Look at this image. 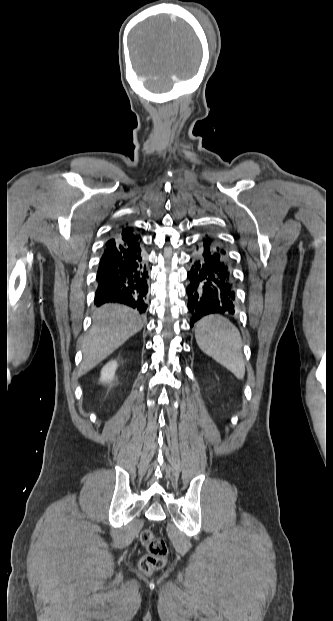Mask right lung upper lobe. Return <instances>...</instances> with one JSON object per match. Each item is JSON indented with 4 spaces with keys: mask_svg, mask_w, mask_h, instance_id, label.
Listing matches in <instances>:
<instances>
[{
    "mask_svg": "<svg viewBox=\"0 0 333 621\" xmlns=\"http://www.w3.org/2000/svg\"><path fill=\"white\" fill-rule=\"evenodd\" d=\"M111 238L120 240L129 245L141 244V237L133 232L132 228L122 225L118 231L110 235Z\"/></svg>",
    "mask_w": 333,
    "mask_h": 621,
    "instance_id": "right-lung-upper-lobe-1",
    "label": "right lung upper lobe"
}]
</instances>
